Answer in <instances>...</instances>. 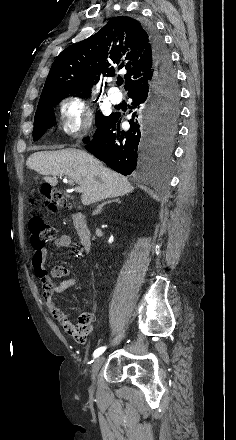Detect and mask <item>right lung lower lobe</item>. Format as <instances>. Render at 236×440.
<instances>
[{
	"mask_svg": "<svg viewBox=\"0 0 236 440\" xmlns=\"http://www.w3.org/2000/svg\"><path fill=\"white\" fill-rule=\"evenodd\" d=\"M148 33L155 63V78L150 84L128 93L132 99L130 128L120 130V113H112L97 126L93 139L85 138L86 150L113 170L129 175L141 173L157 164L164 151L159 144L162 104L154 96L157 85L176 82V74L163 38L150 24L143 25Z\"/></svg>",
	"mask_w": 236,
	"mask_h": 440,
	"instance_id": "obj_1",
	"label": "right lung lower lobe"
}]
</instances>
